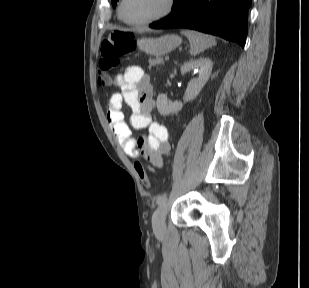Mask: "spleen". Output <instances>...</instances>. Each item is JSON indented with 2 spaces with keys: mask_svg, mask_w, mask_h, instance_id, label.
Returning a JSON list of instances; mask_svg holds the SVG:
<instances>
[{
  "mask_svg": "<svg viewBox=\"0 0 309 288\" xmlns=\"http://www.w3.org/2000/svg\"><path fill=\"white\" fill-rule=\"evenodd\" d=\"M181 33L185 35L190 42V55L192 56L198 55L209 47L216 45L215 38L210 35L194 30H183Z\"/></svg>",
  "mask_w": 309,
  "mask_h": 288,
  "instance_id": "3e777b00",
  "label": "spleen"
}]
</instances>
